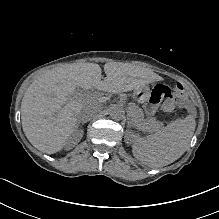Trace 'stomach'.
<instances>
[{"label": "stomach", "instance_id": "1", "mask_svg": "<svg viewBox=\"0 0 219 219\" xmlns=\"http://www.w3.org/2000/svg\"><path fill=\"white\" fill-rule=\"evenodd\" d=\"M149 90L145 87L138 88L135 92V97L138 100H142L147 97Z\"/></svg>", "mask_w": 219, "mask_h": 219}]
</instances>
